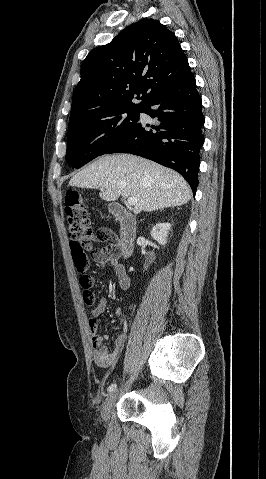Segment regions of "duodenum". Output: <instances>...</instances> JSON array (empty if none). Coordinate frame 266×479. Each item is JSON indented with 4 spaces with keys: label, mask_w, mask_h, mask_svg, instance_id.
<instances>
[{
    "label": "duodenum",
    "mask_w": 266,
    "mask_h": 479,
    "mask_svg": "<svg viewBox=\"0 0 266 479\" xmlns=\"http://www.w3.org/2000/svg\"><path fill=\"white\" fill-rule=\"evenodd\" d=\"M111 213L121 223L122 232L118 244L112 248L111 254L119 259L128 258L134 250V240L136 238V218L133 214L125 210L118 204H112Z\"/></svg>",
    "instance_id": "410a0bca"
}]
</instances>
